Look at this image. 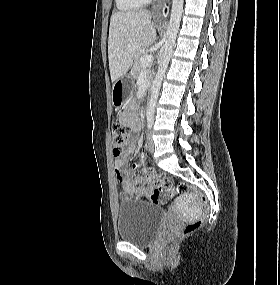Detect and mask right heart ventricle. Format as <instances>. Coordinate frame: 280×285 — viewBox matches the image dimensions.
Instances as JSON below:
<instances>
[{
    "label": "right heart ventricle",
    "mask_w": 280,
    "mask_h": 285,
    "mask_svg": "<svg viewBox=\"0 0 280 285\" xmlns=\"http://www.w3.org/2000/svg\"><path fill=\"white\" fill-rule=\"evenodd\" d=\"M148 0H115V4L120 11L131 12L144 6Z\"/></svg>",
    "instance_id": "1"
}]
</instances>
